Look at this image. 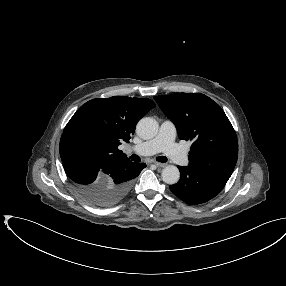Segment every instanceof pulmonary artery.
<instances>
[{
	"label": "pulmonary artery",
	"mask_w": 286,
	"mask_h": 286,
	"mask_svg": "<svg viewBox=\"0 0 286 286\" xmlns=\"http://www.w3.org/2000/svg\"><path fill=\"white\" fill-rule=\"evenodd\" d=\"M176 134L177 131L173 122L166 120L160 125L159 131L153 139L135 145L132 149L137 154L143 156L163 152L176 164L185 166L188 164V157L175 143Z\"/></svg>",
	"instance_id": "1"
}]
</instances>
